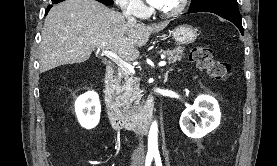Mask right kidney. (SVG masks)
<instances>
[{
    "mask_svg": "<svg viewBox=\"0 0 277 166\" xmlns=\"http://www.w3.org/2000/svg\"><path fill=\"white\" fill-rule=\"evenodd\" d=\"M75 112L82 127L86 129L96 127L101 113L98 94L94 91H89L79 96L75 102Z\"/></svg>",
    "mask_w": 277,
    "mask_h": 166,
    "instance_id": "right-kidney-1",
    "label": "right kidney"
}]
</instances>
